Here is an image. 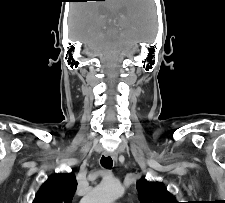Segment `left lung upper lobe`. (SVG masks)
Returning a JSON list of instances; mask_svg holds the SVG:
<instances>
[{"label":"left lung upper lobe","mask_w":225,"mask_h":203,"mask_svg":"<svg viewBox=\"0 0 225 203\" xmlns=\"http://www.w3.org/2000/svg\"><path fill=\"white\" fill-rule=\"evenodd\" d=\"M140 203H178L174 196L159 182H148L142 178L137 183Z\"/></svg>","instance_id":"1"}]
</instances>
